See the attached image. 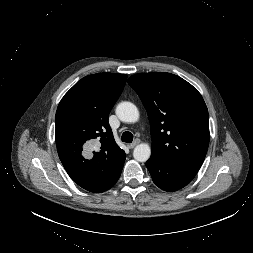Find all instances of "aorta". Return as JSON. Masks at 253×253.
<instances>
[{"label": "aorta", "instance_id": "obj_1", "mask_svg": "<svg viewBox=\"0 0 253 253\" xmlns=\"http://www.w3.org/2000/svg\"><path fill=\"white\" fill-rule=\"evenodd\" d=\"M116 115L126 123H135L139 119V111L131 102H121L116 107ZM151 156V148L147 143L138 144L133 151V157L139 162H146Z\"/></svg>", "mask_w": 253, "mask_h": 253}]
</instances>
